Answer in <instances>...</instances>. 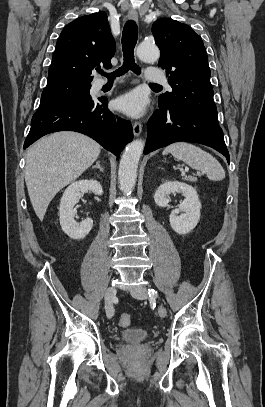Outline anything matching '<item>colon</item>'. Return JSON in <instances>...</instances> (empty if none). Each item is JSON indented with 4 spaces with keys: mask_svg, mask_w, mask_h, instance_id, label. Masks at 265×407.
Wrapping results in <instances>:
<instances>
[{
    "mask_svg": "<svg viewBox=\"0 0 265 407\" xmlns=\"http://www.w3.org/2000/svg\"><path fill=\"white\" fill-rule=\"evenodd\" d=\"M131 322V316L128 313H122L119 317V326L127 327Z\"/></svg>",
    "mask_w": 265,
    "mask_h": 407,
    "instance_id": "5ec220e1",
    "label": "colon"
}]
</instances>
